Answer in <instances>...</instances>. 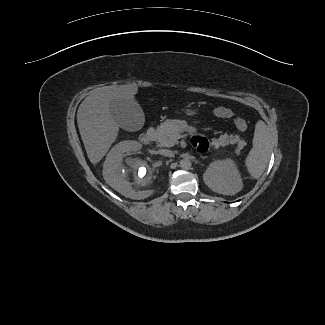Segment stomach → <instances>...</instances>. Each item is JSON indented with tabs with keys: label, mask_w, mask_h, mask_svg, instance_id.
I'll list each match as a JSON object with an SVG mask.
<instances>
[{
	"label": "stomach",
	"mask_w": 325,
	"mask_h": 325,
	"mask_svg": "<svg viewBox=\"0 0 325 325\" xmlns=\"http://www.w3.org/2000/svg\"><path fill=\"white\" fill-rule=\"evenodd\" d=\"M186 113H187L188 115H192V114H194L195 112H194V111H191V110H187Z\"/></svg>",
	"instance_id": "obj_1"
}]
</instances>
